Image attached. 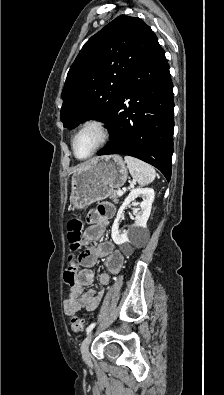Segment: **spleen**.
Wrapping results in <instances>:
<instances>
[{
	"label": "spleen",
	"mask_w": 224,
	"mask_h": 395,
	"mask_svg": "<svg viewBox=\"0 0 224 395\" xmlns=\"http://www.w3.org/2000/svg\"><path fill=\"white\" fill-rule=\"evenodd\" d=\"M124 159L131 176L136 179L139 185L145 186L154 181L156 172L151 165L131 156H125Z\"/></svg>",
	"instance_id": "obj_1"
}]
</instances>
